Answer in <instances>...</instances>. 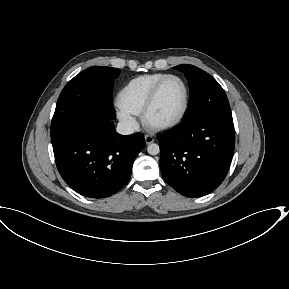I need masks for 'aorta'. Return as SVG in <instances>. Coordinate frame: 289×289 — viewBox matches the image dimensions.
I'll use <instances>...</instances> for the list:
<instances>
[{
    "mask_svg": "<svg viewBox=\"0 0 289 289\" xmlns=\"http://www.w3.org/2000/svg\"><path fill=\"white\" fill-rule=\"evenodd\" d=\"M147 152L150 155H157L160 152V147L158 144L155 143L149 144L147 147Z\"/></svg>",
    "mask_w": 289,
    "mask_h": 289,
    "instance_id": "762f6f07",
    "label": "aorta"
}]
</instances>
